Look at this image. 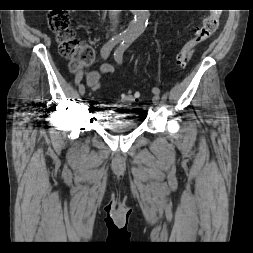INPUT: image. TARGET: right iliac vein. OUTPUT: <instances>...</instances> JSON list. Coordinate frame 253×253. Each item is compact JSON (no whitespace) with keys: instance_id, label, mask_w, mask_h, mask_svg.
<instances>
[{"instance_id":"1","label":"right iliac vein","mask_w":253,"mask_h":253,"mask_svg":"<svg viewBox=\"0 0 253 253\" xmlns=\"http://www.w3.org/2000/svg\"><path fill=\"white\" fill-rule=\"evenodd\" d=\"M79 93H80V95H84V93H85V87L83 84L79 85Z\"/></svg>"}]
</instances>
